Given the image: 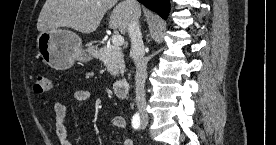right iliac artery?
<instances>
[{
    "mask_svg": "<svg viewBox=\"0 0 276 145\" xmlns=\"http://www.w3.org/2000/svg\"><path fill=\"white\" fill-rule=\"evenodd\" d=\"M140 122H141V120H140L139 113L134 114L133 117H132V120H131L132 127L136 130L139 129Z\"/></svg>",
    "mask_w": 276,
    "mask_h": 145,
    "instance_id": "1",
    "label": "right iliac artery"
}]
</instances>
